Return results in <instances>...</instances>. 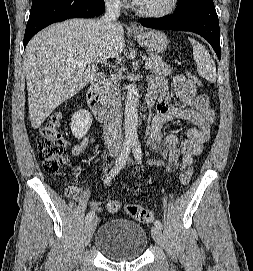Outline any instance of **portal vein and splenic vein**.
<instances>
[{
  "label": "portal vein and splenic vein",
  "mask_w": 253,
  "mask_h": 271,
  "mask_svg": "<svg viewBox=\"0 0 253 271\" xmlns=\"http://www.w3.org/2000/svg\"><path fill=\"white\" fill-rule=\"evenodd\" d=\"M152 65H153V63L152 62H146L145 63V68L146 69H149V68H151L152 67ZM85 66V64L83 63V62H81V63H78V67L79 68H83Z\"/></svg>",
  "instance_id": "1"
}]
</instances>
